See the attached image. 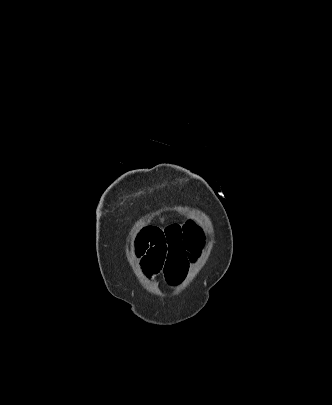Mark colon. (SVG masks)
I'll list each match as a JSON object with an SVG mask.
<instances>
[{
  "label": "colon",
  "mask_w": 332,
  "mask_h": 405,
  "mask_svg": "<svg viewBox=\"0 0 332 405\" xmlns=\"http://www.w3.org/2000/svg\"><path fill=\"white\" fill-rule=\"evenodd\" d=\"M186 227L189 229L187 246L190 249V256L199 257L200 249H203L204 246L205 229L208 227V222L207 220H187Z\"/></svg>",
  "instance_id": "1"
}]
</instances>
